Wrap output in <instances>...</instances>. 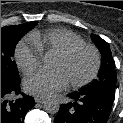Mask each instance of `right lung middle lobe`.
Masks as SVG:
<instances>
[{
	"instance_id": "1",
	"label": "right lung middle lobe",
	"mask_w": 123,
	"mask_h": 123,
	"mask_svg": "<svg viewBox=\"0 0 123 123\" xmlns=\"http://www.w3.org/2000/svg\"><path fill=\"white\" fill-rule=\"evenodd\" d=\"M36 24L37 22L33 21L1 28V79L13 83L20 82L18 69L15 62L12 61V56L17 42Z\"/></svg>"
}]
</instances>
